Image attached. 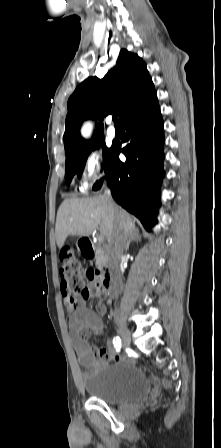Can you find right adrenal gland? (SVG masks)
Segmentation results:
<instances>
[{
    "instance_id": "right-adrenal-gland-1",
    "label": "right adrenal gland",
    "mask_w": 221,
    "mask_h": 448,
    "mask_svg": "<svg viewBox=\"0 0 221 448\" xmlns=\"http://www.w3.org/2000/svg\"><path fill=\"white\" fill-rule=\"evenodd\" d=\"M140 242L141 241V235L139 233V231H135L134 233L130 234L128 236V241L126 243V247L125 250L127 251L129 249L130 243L131 242Z\"/></svg>"
}]
</instances>
